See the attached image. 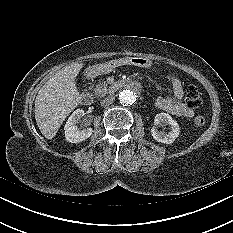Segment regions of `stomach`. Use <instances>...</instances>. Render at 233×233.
<instances>
[{
  "instance_id": "stomach-1",
  "label": "stomach",
  "mask_w": 233,
  "mask_h": 233,
  "mask_svg": "<svg viewBox=\"0 0 233 233\" xmlns=\"http://www.w3.org/2000/svg\"><path fill=\"white\" fill-rule=\"evenodd\" d=\"M152 64L151 60L146 57H128L118 60L106 61L102 65H96L89 68V73L99 75L119 70H129L136 67L148 68Z\"/></svg>"
}]
</instances>
